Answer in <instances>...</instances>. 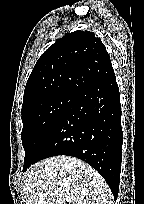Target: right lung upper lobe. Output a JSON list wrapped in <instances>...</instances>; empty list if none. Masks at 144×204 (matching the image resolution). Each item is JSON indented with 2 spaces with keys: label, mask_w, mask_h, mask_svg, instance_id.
I'll return each mask as SVG.
<instances>
[{
  "label": "right lung upper lobe",
  "mask_w": 144,
  "mask_h": 204,
  "mask_svg": "<svg viewBox=\"0 0 144 204\" xmlns=\"http://www.w3.org/2000/svg\"><path fill=\"white\" fill-rule=\"evenodd\" d=\"M113 73L109 54L94 33H69L38 59L25 87L22 111L59 93L76 95Z\"/></svg>",
  "instance_id": "cb5924a9"
}]
</instances>
